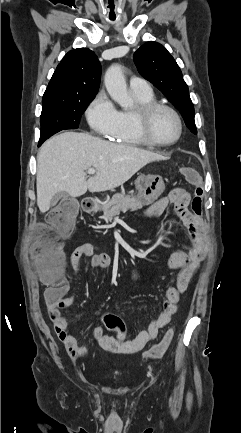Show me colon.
<instances>
[{
	"label": "colon",
	"instance_id": "5ec220e1",
	"mask_svg": "<svg viewBox=\"0 0 241 433\" xmlns=\"http://www.w3.org/2000/svg\"><path fill=\"white\" fill-rule=\"evenodd\" d=\"M186 178L196 185L192 210L201 213V202L203 188L199 184V177L194 170L185 169ZM73 214H80V205L77 200H58L55 211L48 217L51 225V235L42 236L37 234L33 243L32 252L37 264V269L42 281L48 286L45 291V298L49 305H54L64 297L65 280L62 276L63 265V243L62 238L67 236L73 227ZM190 281V276L186 273L180 274L177 285L185 290ZM102 323L105 329H111L116 333V340L110 345L116 351L125 348V327L118 314H102ZM174 337L173 329H169L162 339L145 353L147 359L161 358L169 348Z\"/></svg>",
	"mask_w": 241,
	"mask_h": 433
}]
</instances>
